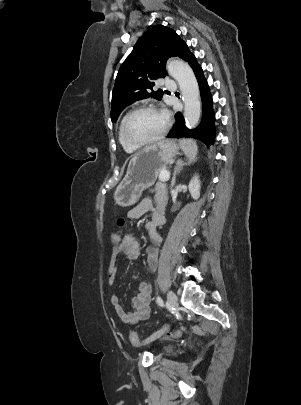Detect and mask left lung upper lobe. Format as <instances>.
Wrapping results in <instances>:
<instances>
[{
    "label": "left lung upper lobe",
    "instance_id": "left-lung-upper-lobe-1",
    "mask_svg": "<svg viewBox=\"0 0 301 405\" xmlns=\"http://www.w3.org/2000/svg\"><path fill=\"white\" fill-rule=\"evenodd\" d=\"M191 54L187 44L167 26H156L142 36L118 71L112 94V122L137 100H161L163 92L153 91V86L155 80L165 77L167 59L178 56L187 61Z\"/></svg>",
    "mask_w": 301,
    "mask_h": 405
}]
</instances>
